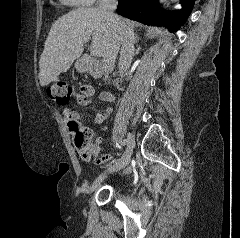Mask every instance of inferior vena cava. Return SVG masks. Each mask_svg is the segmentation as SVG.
<instances>
[{"label":"inferior vena cava","mask_w":240,"mask_h":238,"mask_svg":"<svg viewBox=\"0 0 240 238\" xmlns=\"http://www.w3.org/2000/svg\"><path fill=\"white\" fill-rule=\"evenodd\" d=\"M117 7V0H101L98 10L114 25L121 30L120 41L121 51L118 63V69L120 75L129 68L134 55V43L135 36L132 26L126 24V22L118 15L114 14V10Z\"/></svg>","instance_id":"1"}]
</instances>
